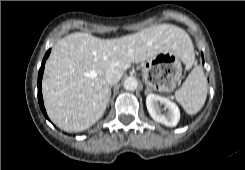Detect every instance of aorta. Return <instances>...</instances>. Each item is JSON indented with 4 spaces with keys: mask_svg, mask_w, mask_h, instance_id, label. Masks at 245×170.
Segmentation results:
<instances>
[{
    "mask_svg": "<svg viewBox=\"0 0 245 170\" xmlns=\"http://www.w3.org/2000/svg\"><path fill=\"white\" fill-rule=\"evenodd\" d=\"M137 86H138V82L135 77H128L124 81V88L128 91L136 90Z\"/></svg>",
    "mask_w": 245,
    "mask_h": 170,
    "instance_id": "obj_1",
    "label": "aorta"
}]
</instances>
